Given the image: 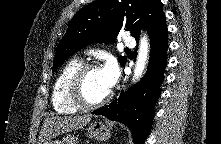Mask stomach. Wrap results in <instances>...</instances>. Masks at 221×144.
<instances>
[{
  "mask_svg": "<svg viewBox=\"0 0 221 144\" xmlns=\"http://www.w3.org/2000/svg\"><path fill=\"white\" fill-rule=\"evenodd\" d=\"M89 138L98 141H105L111 137L112 124L109 122L95 121L86 129ZM78 137L74 134H68L62 140L51 141L49 144H77Z\"/></svg>",
  "mask_w": 221,
  "mask_h": 144,
  "instance_id": "0dacf381",
  "label": "stomach"
}]
</instances>
